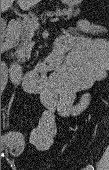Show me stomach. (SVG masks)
Wrapping results in <instances>:
<instances>
[{"instance_id": "stomach-1", "label": "stomach", "mask_w": 109, "mask_h": 170, "mask_svg": "<svg viewBox=\"0 0 109 170\" xmlns=\"http://www.w3.org/2000/svg\"><path fill=\"white\" fill-rule=\"evenodd\" d=\"M83 0H63L64 4L68 5L69 7L79 5Z\"/></svg>"}]
</instances>
